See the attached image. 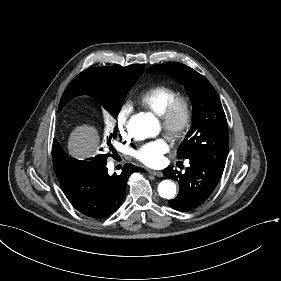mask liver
Masks as SVG:
<instances>
[{
  "mask_svg": "<svg viewBox=\"0 0 281 281\" xmlns=\"http://www.w3.org/2000/svg\"><path fill=\"white\" fill-rule=\"evenodd\" d=\"M100 137L97 129L83 124L77 126L70 134L68 141L69 154L75 158H87L99 148Z\"/></svg>",
  "mask_w": 281,
  "mask_h": 281,
  "instance_id": "obj_1",
  "label": "liver"
}]
</instances>
